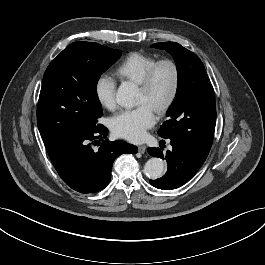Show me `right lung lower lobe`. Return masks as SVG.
<instances>
[{
    "label": "right lung lower lobe",
    "mask_w": 265,
    "mask_h": 265,
    "mask_svg": "<svg viewBox=\"0 0 265 265\" xmlns=\"http://www.w3.org/2000/svg\"><path fill=\"white\" fill-rule=\"evenodd\" d=\"M107 134V128L97 124L89 132L46 146L54 168L73 190L80 193H95L102 190L110 182L114 160L123 153L137 152L136 146L123 141L103 140ZM93 145L100 147L95 149Z\"/></svg>",
    "instance_id": "obj_1"
}]
</instances>
